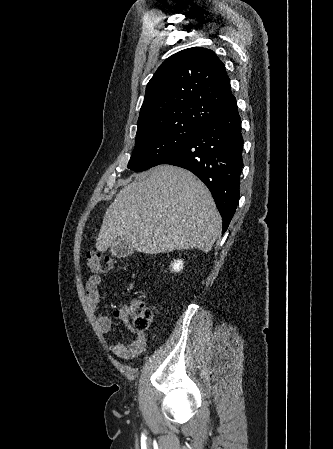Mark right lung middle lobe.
Returning a JSON list of instances; mask_svg holds the SVG:
<instances>
[{
    "mask_svg": "<svg viewBox=\"0 0 333 449\" xmlns=\"http://www.w3.org/2000/svg\"><path fill=\"white\" fill-rule=\"evenodd\" d=\"M201 127L188 122L170 123L136 135L135 148L128 168L144 171L158 165L162 158L169 155Z\"/></svg>",
    "mask_w": 333,
    "mask_h": 449,
    "instance_id": "obj_1",
    "label": "right lung middle lobe"
}]
</instances>
